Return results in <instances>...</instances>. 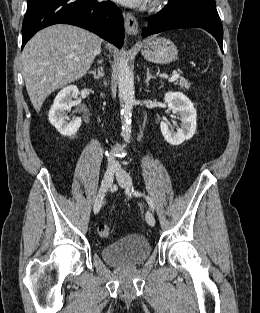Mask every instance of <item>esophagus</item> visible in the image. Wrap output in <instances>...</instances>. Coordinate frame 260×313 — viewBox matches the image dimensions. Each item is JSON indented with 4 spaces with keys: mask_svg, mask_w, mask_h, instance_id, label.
<instances>
[{
    "mask_svg": "<svg viewBox=\"0 0 260 313\" xmlns=\"http://www.w3.org/2000/svg\"><path fill=\"white\" fill-rule=\"evenodd\" d=\"M125 30L128 35L135 36L138 33V22L131 13H126L124 18Z\"/></svg>",
    "mask_w": 260,
    "mask_h": 313,
    "instance_id": "obj_1",
    "label": "esophagus"
}]
</instances>
